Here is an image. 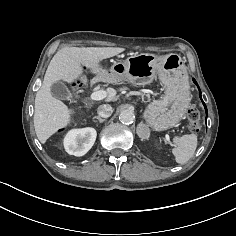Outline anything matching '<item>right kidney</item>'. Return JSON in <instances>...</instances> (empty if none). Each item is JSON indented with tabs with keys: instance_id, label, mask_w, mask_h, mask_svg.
<instances>
[{
	"instance_id": "right-kidney-1",
	"label": "right kidney",
	"mask_w": 236,
	"mask_h": 236,
	"mask_svg": "<svg viewBox=\"0 0 236 236\" xmlns=\"http://www.w3.org/2000/svg\"><path fill=\"white\" fill-rule=\"evenodd\" d=\"M97 132L94 128L72 129L64 137V147L68 154L85 155L93 146Z\"/></svg>"
}]
</instances>
